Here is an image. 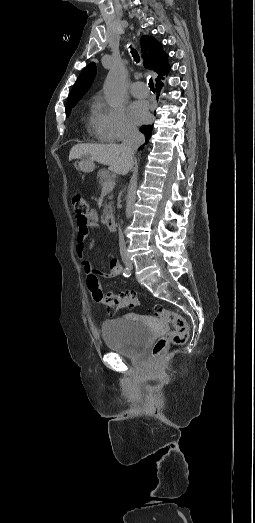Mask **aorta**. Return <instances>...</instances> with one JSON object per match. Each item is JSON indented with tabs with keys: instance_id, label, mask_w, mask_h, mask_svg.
Returning a JSON list of instances; mask_svg holds the SVG:
<instances>
[{
	"instance_id": "aorta-1",
	"label": "aorta",
	"mask_w": 255,
	"mask_h": 523,
	"mask_svg": "<svg viewBox=\"0 0 255 523\" xmlns=\"http://www.w3.org/2000/svg\"><path fill=\"white\" fill-rule=\"evenodd\" d=\"M126 70L123 64L118 63L108 73L104 83V94L107 103L118 106L123 98Z\"/></svg>"
}]
</instances>
